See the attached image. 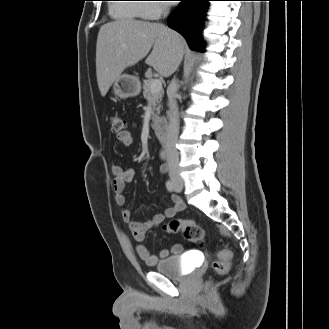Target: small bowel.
Segmentation results:
<instances>
[{"instance_id": "small-bowel-1", "label": "small bowel", "mask_w": 329, "mask_h": 329, "mask_svg": "<svg viewBox=\"0 0 329 329\" xmlns=\"http://www.w3.org/2000/svg\"><path fill=\"white\" fill-rule=\"evenodd\" d=\"M117 138L119 142L125 146H129L133 142L132 134L129 131H125L117 135ZM159 170L161 172H166V164L162 163L159 167ZM111 172L113 175L112 185L115 192V202L118 206L121 207V217L123 221L128 223L129 230L134 239L137 241L135 250L138 257L148 265H155L159 259L169 256L170 252L173 254L182 252L183 246L180 243H175L172 245L170 251L167 249H160L157 255H153L142 243L147 231L160 225L166 218L174 217L184 208V204L181 199L178 196L173 195L171 196L172 206L167 208L164 213H156L152 216V218L144 222L133 221L131 211L128 208H125V188L128 183L134 180L136 176V170L134 168H125L122 165L117 164L112 166Z\"/></svg>"}]
</instances>
